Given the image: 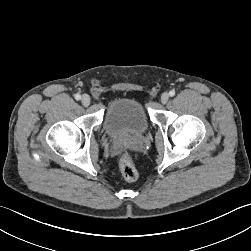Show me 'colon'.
I'll list each match as a JSON object with an SVG mask.
<instances>
[{"instance_id":"obj_1","label":"colon","mask_w":251,"mask_h":251,"mask_svg":"<svg viewBox=\"0 0 251 251\" xmlns=\"http://www.w3.org/2000/svg\"><path fill=\"white\" fill-rule=\"evenodd\" d=\"M119 170L127 182H134L138 178V171L131 154L125 153L119 160Z\"/></svg>"}]
</instances>
